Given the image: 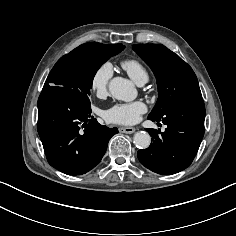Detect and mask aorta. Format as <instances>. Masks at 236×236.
<instances>
[{"label": "aorta", "instance_id": "762f6f07", "mask_svg": "<svg viewBox=\"0 0 236 236\" xmlns=\"http://www.w3.org/2000/svg\"><path fill=\"white\" fill-rule=\"evenodd\" d=\"M109 92L118 100L132 101L137 96V90L134 84L125 78L115 77L109 82ZM134 143L140 149H146L150 146L151 137L145 132H137L134 135Z\"/></svg>", "mask_w": 236, "mask_h": 236}]
</instances>
